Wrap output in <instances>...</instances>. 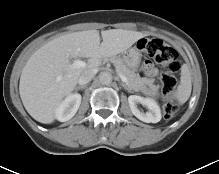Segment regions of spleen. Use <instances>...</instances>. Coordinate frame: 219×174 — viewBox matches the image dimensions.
Returning <instances> with one entry per match:
<instances>
[{"mask_svg":"<svg viewBox=\"0 0 219 174\" xmlns=\"http://www.w3.org/2000/svg\"><path fill=\"white\" fill-rule=\"evenodd\" d=\"M181 81L176 92V98L180 104L185 103L191 94L192 84L189 67L184 64L181 68ZM143 92L149 96H156L157 93L151 89H144Z\"/></svg>","mask_w":219,"mask_h":174,"instance_id":"spleen-1","label":"spleen"}]
</instances>
